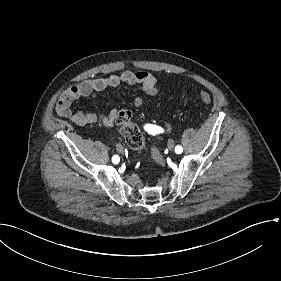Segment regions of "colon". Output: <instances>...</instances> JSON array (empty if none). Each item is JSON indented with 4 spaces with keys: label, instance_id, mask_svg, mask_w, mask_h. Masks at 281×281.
I'll return each instance as SVG.
<instances>
[{
    "label": "colon",
    "instance_id": "1",
    "mask_svg": "<svg viewBox=\"0 0 281 281\" xmlns=\"http://www.w3.org/2000/svg\"><path fill=\"white\" fill-rule=\"evenodd\" d=\"M199 100L204 104H208L213 99L209 93L202 92L199 94ZM115 122L119 126L123 137L133 149L140 150L143 148L145 138L138 125L131 120L129 111L124 110L117 113L115 115Z\"/></svg>",
    "mask_w": 281,
    "mask_h": 281
}]
</instances>
